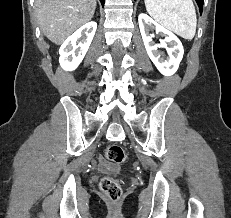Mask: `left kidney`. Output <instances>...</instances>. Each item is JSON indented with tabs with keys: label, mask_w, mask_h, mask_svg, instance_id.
<instances>
[{
	"label": "left kidney",
	"mask_w": 231,
	"mask_h": 218,
	"mask_svg": "<svg viewBox=\"0 0 231 218\" xmlns=\"http://www.w3.org/2000/svg\"><path fill=\"white\" fill-rule=\"evenodd\" d=\"M138 21L148 56L161 74L165 76L173 75L177 71L183 58L184 49L182 43L174 33L158 24L147 14L141 13ZM150 28L155 29L156 33H160L165 37L160 44L154 43L152 35L149 34ZM167 43L170 47L167 46ZM158 48H165L168 52V57H162Z\"/></svg>",
	"instance_id": "1"
}]
</instances>
